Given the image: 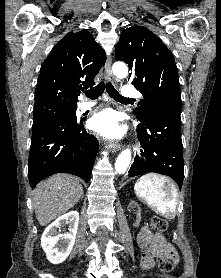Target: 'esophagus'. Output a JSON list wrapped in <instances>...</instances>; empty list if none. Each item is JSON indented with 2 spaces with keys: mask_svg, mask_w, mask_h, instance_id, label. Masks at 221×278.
Segmentation results:
<instances>
[{
  "mask_svg": "<svg viewBox=\"0 0 221 278\" xmlns=\"http://www.w3.org/2000/svg\"><path fill=\"white\" fill-rule=\"evenodd\" d=\"M112 64V58L111 56L107 57L106 63H105V74L108 81H111L112 83H116V78L114 77L111 69ZM106 147H108L112 152H117L121 145L118 142L110 141Z\"/></svg>",
  "mask_w": 221,
  "mask_h": 278,
  "instance_id": "1",
  "label": "esophagus"
}]
</instances>
